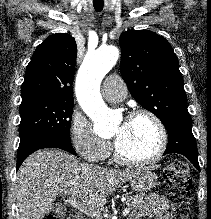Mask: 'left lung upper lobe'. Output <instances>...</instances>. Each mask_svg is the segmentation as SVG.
Here are the masks:
<instances>
[{
	"label": "left lung upper lobe",
	"mask_w": 211,
	"mask_h": 219,
	"mask_svg": "<svg viewBox=\"0 0 211 219\" xmlns=\"http://www.w3.org/2000/svg\"><path fill=\"white\" fill-rule=\"evenodd\" d=\"M120 72L133 98L167 129L191 119L179 62L168 41L148 30H128L119 38Z\"/></svg>",
	"instance_id": "1"
}]
</instances>
